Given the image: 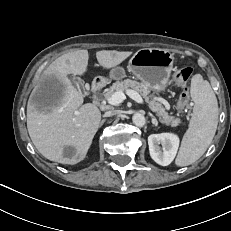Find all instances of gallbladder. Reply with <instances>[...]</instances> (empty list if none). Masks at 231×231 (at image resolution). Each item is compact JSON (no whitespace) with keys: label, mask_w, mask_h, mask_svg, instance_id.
<instances>
[{"label":"gallbladder","mask_w":231,"mask_h":231,"mask_svg":"<svg viewBox=\"0 0 231 231\" xmlns=\"http://www.w3.org/2000/svg\"><path fill=\"white\" fill-rule=\"evenodd\" d=\"M72 82L77 86L80 91L82 90L84 94H87L84 89V82L79 77H73Z\"/></svg>","instance_id":"1"}]
</instances>
